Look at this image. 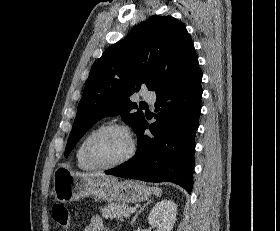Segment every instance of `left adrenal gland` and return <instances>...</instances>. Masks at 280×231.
Listing matches in <instances>:
<instances>
[{
    "label": "left adrenal gland",
    "instance_id": "left-adrenal-gland-1",
    "mask_svg": "<svg viewBox=\"0 0 280 231\" xmlns=\"http://www.w3.org/2000/svg\"><path fill=\"white\" fill-rule=\"evenodd\" d=\"M149 203H152L151 199H149V201H147V203H144L143 207H140L139 211H137V213H135V215H133L132 217V221H130L131 225H134L138 215H140L142 209H145L146 205H149Z\"/></svg>",
    "mask_w": 280,
    "mask_h": 231
}]
</instances>
